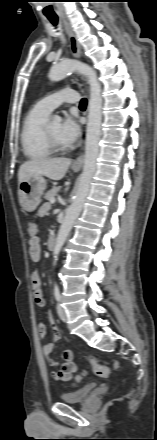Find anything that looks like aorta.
Here are the masks:
<instances>
[{"mask_svg": "<svg viewBox=\"0 0 157 440\" xmlns=\"http://www.w3.org/2000/svg\"><path fill=\"white\" fill-rule=\"evenodd\" d=\"M78 72L88 79L90 86V99L88 105V122L86 128L85 156L83 172L80 175L78 189L74 196L72 204L66 211L63 223L60 226L56 243L53 250L54 264L58 260V255L64 245L75 220L80 215L85 200L89 194L92 178L96 170L97 157L99 152V139L101 135L102 121V96L101 85L98 81L96 72L87 64L68 60L55 64L49 71V79L60 81L69 73ZM59 116L53 117L54 123H59Z\"/></svg>", "mask_w": 157, "mask_h": 440, "instance_id": "aorta-1", "label": "aorta"}]
</instances>
